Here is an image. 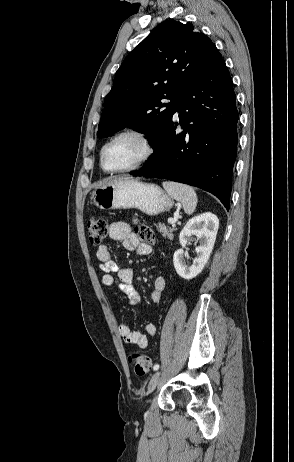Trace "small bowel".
<instances>
[{
  "mask_svg": "<svg viewBox=\"0 0 294 462\" xmlns=\"http://www.w3.org/2000/svg\"><path fill=\"white\" fill-rule=\"evenodd\" d=\"M109 236L111 239L120 241L123 247L129 251H135L137 254L145 256L152 253L150 245L140 242L136 234L131 230L129 224L123 221L113 222L109 226ZM97 258L100 262V269L103 272L102 284L106 288L116 286L125 296L129 305L134 306L139 303L140 295L134 287V271L129 267H120L111 259V253L106 245H101L97 249ZM166 281L162 276L154 279L153 289L150 293V299L153 303L161 300L162 293L165 289ZM156 326L153 323H147L141 330H132L126 322L119 325V333L124 343L135 345L142 349L148 347V337L156 334Z\"/></svg>",
  "mask_w": 294,
  "mask_h": 462,
  "instance_id": "small-bowel-1",
  "label": "small bowel"
}]
</instances>
